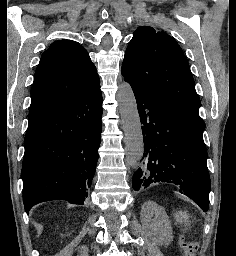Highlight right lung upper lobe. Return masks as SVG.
Masks as SVG:
<instances>
[{"instance_id":"obj_1","label":"right lung upper lobe","mask_w":236,"mask_h":256,"mask_svg":"<svg viewBox=\"0 0 236 256\" xmlns=\"http://www.w3.org/2000/svg\"><path fill=\"white\" fill-rule=\"evenodd\" d=\"M100 83L87 51L72 40H59L43 52L31 91L29 124L47 116Z\"/></svg>"}]
</instances>
